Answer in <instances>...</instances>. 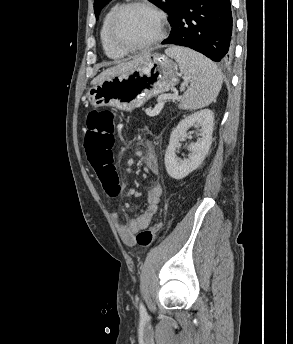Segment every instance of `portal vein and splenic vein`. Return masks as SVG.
Here are the masks:
<instances>
[{
	"label": "portal vein and splenic vein",
	"mask_w": 293,
	"mask_h": 344,
	"mask_svg": "<svg viewBox=\"0 0 293 344\" xmlns=\"http://www.w3.org/2000/svg\"><path fill=\"white\" fill-rule=\"evenodd\" d=\"M175 98H177V94L160 96L158 98V103H157L156 107L154 108V110L152 111L151 115L155 116L161 111V109L163 108V105H164V100L175 99Z\"/></svg>",
	"instance_id": "18ae733b"
}]
</instances>
